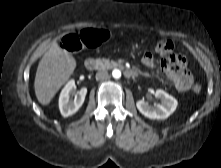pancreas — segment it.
I'll list each match as a JSON object with an SVG mask.
<instances>
[{"label":"pancreas","instance_id":"cf45deb5","mask_svg":"<svg viewBox=\"0 0 221 168\" xmlns=\"http://www.w3.org/2000/svg\"><path fill=\"white\" fill-rule=\"evenodd\" d=\"M96 64L99 67V69H111L116 67L118 64L113 61V60H109V59H105V58H98L96 59Z\"/></svg>","mask_w":221,"mask_h":168}]
</instances>
